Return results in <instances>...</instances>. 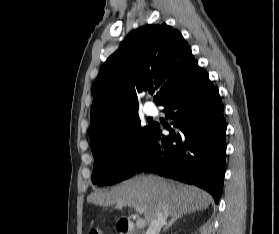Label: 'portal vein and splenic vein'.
Returning <instances> with one entry per match:
<instances>
[{
    "mask_svg": "<svg viewBox=\"0 0 279 234\" xmlns=\"http://www.w3.org/2000/svg\"><path fill=\"white\" fill-rule=\"evenodd\" d=\"M120 206H122V205H120ZM134 208H135V210H136L138 213H143V209H142L141 207L135 206ZM136 225H137V227H139V228H143V227L146 226V221H145L144 219H138V220L136 221Z\"/></svg>",
    "mask_w": 279,
    "mask_h": 234,
    "instance_id": "portal-vein-and-splenic-vein-1",
    "label": "portal vein and splenic vein"
}]
</instances>
